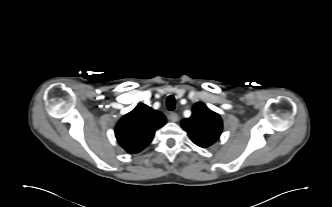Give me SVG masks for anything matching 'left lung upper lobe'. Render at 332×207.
Segmentation results:
<instances>
[{
  "label": "left lung upper lobe",
  "mask_w": 332,
  "mask_h": 207,
  "mask_svg": "<svg viewBox=\"0 0 332 207\" xmlns=\"http://www.w3.org/2000/svg\"><path fill=\"white\" fill-rule=\"evenodd\" d=\"M181 126L190 139L203 148L209 147L218 140L223 127L219 114L210 110L202 102L194 104L192 116L183 119Z\"/></svg>",
  "instance_id": "obj_1"
}]
</instances>
